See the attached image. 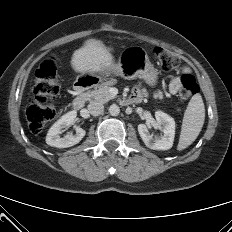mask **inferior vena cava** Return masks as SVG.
<instances>
[{
    "mask_svg": "<svg viewBox=\"0 0 232 232\" xmlns=\"http://www.w3.org/2000/svg\"><path fill=\"white\" fill-rule=\"evenodd\" d=\"M88 111L93 116H99L104 113V106L102 103L94 102L88 105Z\"/></svg>",
    "mask_w": 232,
    "mask_h": 232,
    "instance_id": "inferior-vena-cava-1",
    "label": "inferior vena cava"
}]
</instances>
